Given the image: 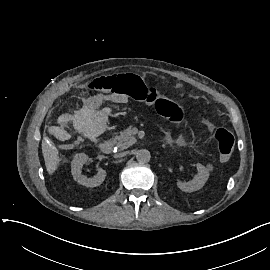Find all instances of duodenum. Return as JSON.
<instances>
[{"mask_svg":"<svg viewBox=\"0 0 270 270\" xmlns=\"http://www.w3.org/2000/svg\"><path fill=\"white\" fill-rule=\"evenodd\" d=\"M113 149V142L111 140H105L100 144V150L104 154H109Z\"/></svg>","mask_w":270,"mask_h":270,"instance_id":"obj_1","label":"duodenum"}]
</instances>
